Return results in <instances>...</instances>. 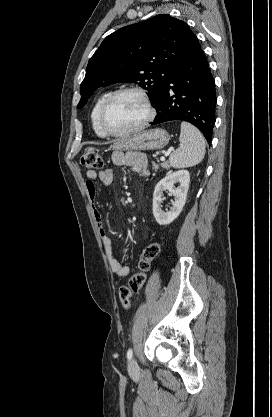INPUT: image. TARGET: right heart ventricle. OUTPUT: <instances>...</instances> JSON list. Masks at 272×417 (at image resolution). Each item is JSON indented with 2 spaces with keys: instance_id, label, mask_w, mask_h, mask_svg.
<instances>
[{
  "instance_id": "right-heart-ventricle-1",
  "label": "right heart ventricle",
  "mask_w": 272,
  "mask_h": 417,
  "mask_svg": "<svg viewBox=\"0 0 272 417\" xmlns=\"http://www.w3.org/2000/svg\"><path fill=\"white\" fill-rule=\"evenodd\" d=\"M109 95H110V92H105V93L101 94L97 98V100H96V102H95V104H94V106L92 108V111H91V123H92V127H93V130L96 133V135L99 136V137H105V135L102 133V131H101L100 127H99L98 115H99V111H100V108H101L103 102L105 101V99Z\"/></svg>"
}]
</instances>
